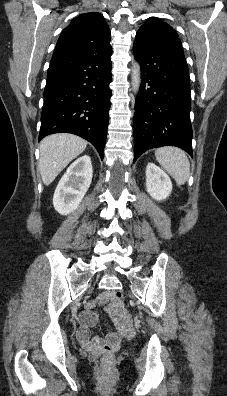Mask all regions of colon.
<instances>
[{
	"label": "colon",
	"instance_id": "obj_1",
	"mask_svg": "<svg viewBox=\"0 0 227 396\" xmlns=\"http://www.w3.org/2000/svg\"><path fill=\"white\" fill-rule=\"evenodd\" d=\"M115 300L118 304H123V294L121 292H116L115 293ZM113 360V353L112 349L110 347H106L105 355H104V364L109 365Z\"/></svg>",
	"mask_w": 227,
	"mask_h": 396
}]
</instances>
